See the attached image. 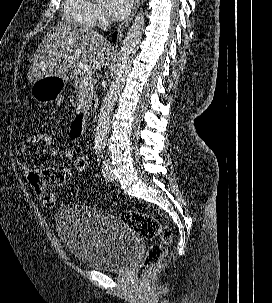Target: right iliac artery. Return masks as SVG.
<instances>
[{"label": "right iliac artery", "instance_id": "1", "mask_svg": "<svg viewBox=\"0 0 272 303\" xmlns=\"http://www.w3.org/2000/svg\"><path fill=\"white\" fill-rule=\"evenodd\" d=\"M101 148H102V145H101V144H96V145H95L94 149H95V154H96L97 156H99V153H100V151H101Z\"/></svg>", "mask_w": 272, "mask_h": 303}]
</instances>
